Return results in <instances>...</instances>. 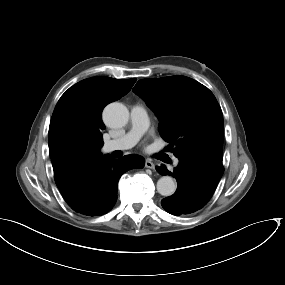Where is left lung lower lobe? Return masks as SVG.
Returning <instances> with one entry per match:
<instances>
[{
  "mask_svg": "<svg viewBox=\"0 0 285 285\" xmlns=\"http://www.w3.org/2000/svg\"><path fill=\"white\" fill-rule=\"evenodd\" d=\"M173 172L165 165L157 166L161 175L175 176L176 192L161 201L162 207L170 214L189 215L202 209L213 195L224 168L222 161L210 157L180 156Z\"/></svg>",
  "mask_w": 285,
  "mask_h": 285,
  "instance_id": "1",
  "label": "left lung lower lobe"
}]
</instances>
